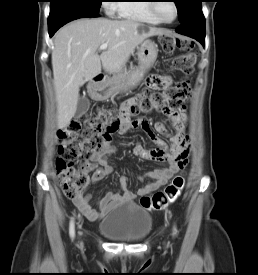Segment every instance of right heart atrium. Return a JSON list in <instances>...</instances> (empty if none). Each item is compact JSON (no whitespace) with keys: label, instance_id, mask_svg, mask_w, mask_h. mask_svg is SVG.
Masks as SVG:
<instances>
[{"label":"right heart atrium","instance_id":"right-heart-atrium-1","mask_svg":"<svg viewBox=\"0 0 258 275\" xmlns=\"http://www.w3.org/2000/svg\"><path fill=\"white\" fill-rule=\"evenodd\" d=\"M113 4H114V3L109 4L111 10H113V8H114V7H113Z\"/></svg>","mask_w":258,"mask_h":275}]
</instances>
